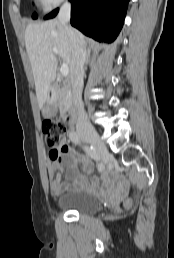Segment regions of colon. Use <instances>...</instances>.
<instances>
[{
  "label": "colon",
  "instance_id": "5ec220e1",
  "mask_svg": "<svg viewBox=\"0 0 174 258\" xmlns=\"http://www.w3.org/2000/svg\"><path fill=\"white\" fill-rule=\"evenodd\" d=\"M42 131L45 135L47 144L51 147H56L60 143L66 132V126L61 121L45 120L42 124ZM58 154L59 153L57 150H54L52 152L53 157H57ZM128 203L129 202H127L126 204Z\"/></svg>",
  "mask_w": 174,
  "mask_h": 258
}]
</instances>
